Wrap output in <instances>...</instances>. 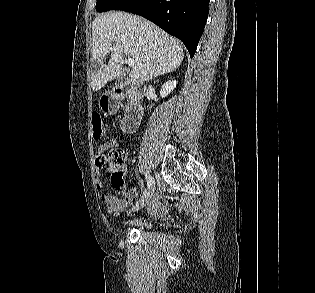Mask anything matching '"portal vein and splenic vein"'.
Segmentation results:
<instances>
[{
    "label": "portal vein and splenic vein",
    "mask_w": 315,
    "mask_h": 293,
    "mask_svg": "<svg viewBox=\"0 0 315 293\" xmlns=\"http://www.w3.org/2000/svg\"><path fill=\"white\" fill-rule=\"evenodd\" d=\"M109 49L112 50V47H110ZM127 64H128L129 67H134L135 61L132 58H128L127 59Z\"/></svg>",
    "instance_id": "obj_1"
}]
</instances>
